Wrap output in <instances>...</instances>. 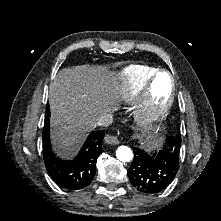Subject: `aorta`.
Returning <instances> with one entry per match:
<instances>
[{"label": "aorta", "instance_id": "762f6f07", "mask_svg": "<svg viewBox=\"0 0 221 221\" xmlns=\"http://www.w3.org/2000/svg\"><path fill=\"white\" fill-rule=\"evenodd\" d=\"M116 157L120 161L129 162L133 158V152L127 146H120L116 150Z\"/></svg>", "mask_w": 221, "mask_h": 221}]
</instances>
